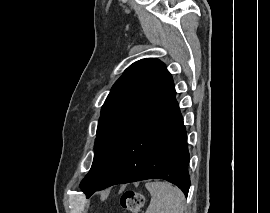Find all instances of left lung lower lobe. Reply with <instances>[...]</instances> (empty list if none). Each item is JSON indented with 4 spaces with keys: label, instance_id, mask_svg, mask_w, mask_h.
I'll return each instance as SVG.
<instances>
[{
    "label": "left lung lower lobe",
    "instance_id": "1",
    "mask_svg": "<svg viewBox=\"0 0 270 213\" xmlns=\"http://www.w3.org/2000/svg\"><path fill=\"white\" fill-rule=\"evenodd\" d=\"M175 90L140 124L102 181L90 192L115 184L158 178L177 185L187 196L189 152Z\"/></svg>",
    "mask_w": 270,
    "mask_h": 213
}]
</instances>
